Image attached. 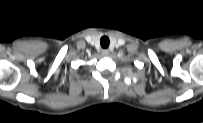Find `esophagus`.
I'll return each mask as SVG.
<instances>
[{
    "label": "esophagus",
    "instance_id": "obj_1",
    "mask_svg": "<svg viewBox=\"0 0 203 123\" xmlns=\"http://www.w3.org/2000/svg\"><path fill=\"white\" fill-rule=\"evenodd\" d=\"M101 53H102L103 56H108L110 52H109V50L104 49V50H102Z\"/></svg>",
    "mask_w": 203,
    "mask_h": 123
}]
</instances>
